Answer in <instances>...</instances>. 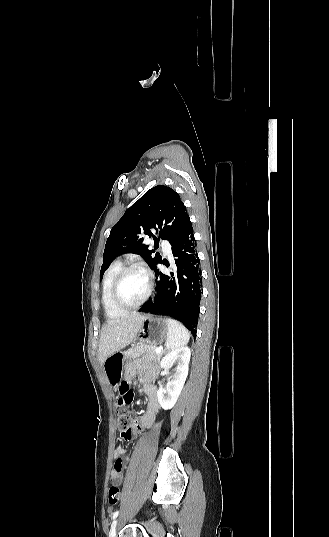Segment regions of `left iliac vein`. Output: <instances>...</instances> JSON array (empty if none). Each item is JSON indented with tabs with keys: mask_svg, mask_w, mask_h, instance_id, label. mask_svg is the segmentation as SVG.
<instances>
[{
	"mask_svg": "<svg viewBox=\"0 0 329 537\" xmlns=\"http://www.w3.org/2000/svg\"><path fill=\"white\" fill-rule=\"evenodd\" d=\"M116 530H117V520H114L112 525H111V529L109 531V536L108 537H115Z\"/></svg>",
	"mask_w": 329,
	"mask_h": 537,
	"instance_id": "1",
	"label": "left iliac vein"
}]
</instances>
